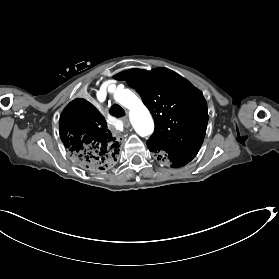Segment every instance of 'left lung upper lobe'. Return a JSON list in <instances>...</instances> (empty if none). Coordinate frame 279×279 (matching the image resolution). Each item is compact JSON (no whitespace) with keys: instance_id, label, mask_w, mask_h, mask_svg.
Masks as SVG:
<instances>
[{"instance_id":"left-lung-upper-lobe-1","label":"left lung upper lobe","mask_w":279,"mask_h":279,"mask_svg":"<svg viewBox=\"0 0 279 279\" xmlns=\"http://www.w3.org/2000/svg\"><path fill=\"white\" fill-rule=\"evenodd\" d=\"M135 88L155 120L148 144L198 152L206 133L208 109L202 93L167 68L130 69L114 76Z\"/></svg>"}]
</instances>
